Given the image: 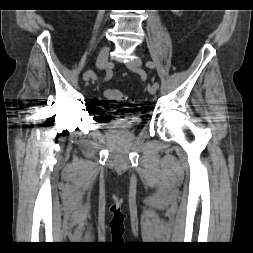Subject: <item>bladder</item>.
Here are the masks:
<instances>
[{
  "label": "bladder",
  "instance_id": "31cf9c89",
  "mask_svg": "<svg viewBox=\"0 0 253 253\" xmlns=\"http://www.w3.org/2000/svg\"><path fill=\"white\" fill-rule=\"evenodd\" d=\"M140 123H141L140 118L126 115L123 120L113 122V123H108L106 124L105 127L131 131L137 128L140 125Z\"/></svg>",
  "mask_w": 253,
  "mask_h": 253
}]
</instances>
